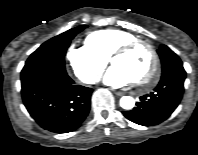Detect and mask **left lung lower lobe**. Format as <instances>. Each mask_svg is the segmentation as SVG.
Masks as SVG:
<instances>
[{"label": "left lung lower lobe", "instance_id": "0a47b994", "mask_svg": "<svg viewBox=\"0 0 198 155\" xmlns=\"http://www.w3.org/2000/svg\"><path fill=\"white\" fill-rule=\"evenodd\" d=\"M185 78L186 72L184 70L175 71L161 77L154 91L141 96L133 110L123 111L124 116L143 126L157 125L165 121L182 99ZM141 112H148L150 117L144 118Z\"/></svg>", "mask_w": 198, "mask_h": 155}]
</instances>
